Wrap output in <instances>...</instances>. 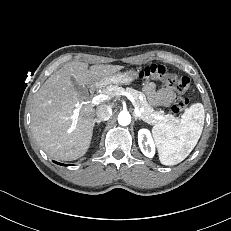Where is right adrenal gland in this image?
<instances>
[{
	"label": "right adrenal gland",
	"instance_id": "obj_1",
	"mask_svg": "<svg viewBox=\"0 0 231 231\" xmlns=\"http://www.w3.org/2000/svg\"><path fill=\"white\" fill-rule=\"evenodd\" d=\"M96 123L99 125L101 122L99 120L95 119L94 120V126H95Z\"/></svg>",
	"mask_w": 231,
	"mask_h": 231
}]
</instances>
